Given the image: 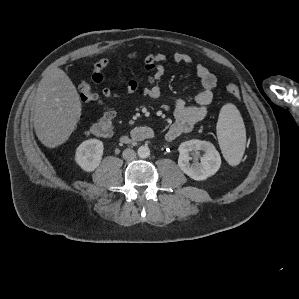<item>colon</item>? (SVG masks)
I'll return each instance as SVG.
<instances>
[{
	"label": "colon",
	"instance_id": "obj_1",
	"mask_svg": "<svg viewBox=\"0 0 299 299\" xmlns=\"http://www.w3.org/2000/svg\"><path fill=\"white\" fill-rule=\"evenodd\" d=\"M227 92L235 99L240 96L239 88L234 82H228L226 85ZM78 90L82 100L86 102H97L98 97L91 89L90 85L81 81L78 86ZM115 112L107 109L103 115L96 120L89 128L88 134L97 137H108L112 134L114 128Z\"/></svg>",
	"mask_w": 299,
	"mask_h": 299
}]
</instances>
